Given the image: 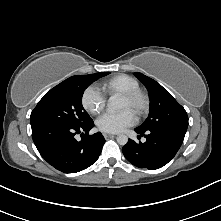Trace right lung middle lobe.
Returning <instances> with one entry per match:
<instances>
[{"label":"right lung middle lobe","mask_w":221,"mask_h":221,"mask_svg":"<svg viewBox=\"0 0 221 221\" xmlns=\"http://www.w3.org/2000/svg\"><path fill=\"white\" fill-rule=\"evenodd\" d=\"M109 73L72 76L52 88L32 111L31 127L46 124L80 126L91 121L82 106L83 92L93 81Z\"/></svg>","instance_id":"right-lung-middle-lobe-1"}]
</instances>
